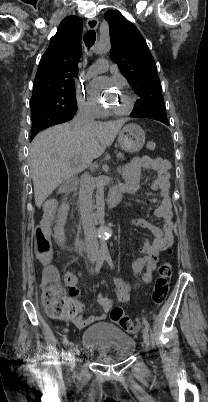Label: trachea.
Wrapping results in <instances>:
<instances>
[{
	"mask_svg": "<svg viewBox=\"0 0 208 402\" xmlns=\"http://www.w3.org/2000/svg\"><path fill=\"white\" fill-rule=\"evenodd\" d=\"M96 40V33L94 30H89L84 35V43L90 49L95 43Z\"/></svg>",
	"mask_w": 208,
	"mask_h": 402,
	"instance_id": "3493384b",
	"label": "trachea"
}]
</instances>
